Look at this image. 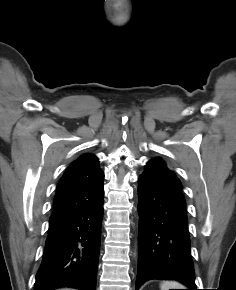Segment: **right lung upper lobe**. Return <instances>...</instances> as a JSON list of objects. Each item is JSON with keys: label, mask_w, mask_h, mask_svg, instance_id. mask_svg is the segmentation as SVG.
Listing matches in <instances>:
<instances>
[{"label": "right lung upper lobe", "mask_w": 236, "mask_h": 290, "mask_svg": "<svg viewBox=\"0 0 236 290\" xmlns=\"http://www.w3.org/2000/svg\"><path fill=\"white\" fill-rule=\"evenodd\" d=\"M98 162L96 156L84 154L68 167L57 185L50 222L92 204L103 196L104 172Z\"/></svg>", "instance_id": "obj_1"}]
</instances>
